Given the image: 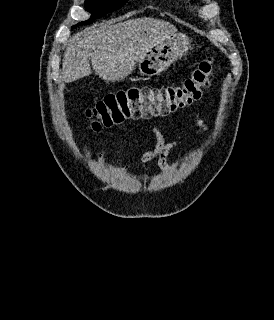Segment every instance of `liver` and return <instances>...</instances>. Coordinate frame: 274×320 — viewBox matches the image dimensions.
<instances>
[{
	"mask_svg": "<svg viewBox=\"0 0 274 320\" xmlns=\"http://www.w3.org/2000/svg\"><path fill=\"white\" fill-rule=\"evenodd\" d=\"M176 32L175 26L155 20L137 18L120 24H98L84 28L69 40L62 60L64 82H75L92 74V68L105 82H119L129 76L137 62L159 40Z\"/></svg>",
	"mask_w": 274,
	"mask_h": 320,
	"instance_id": "6515ba94",
	"label": "liver"
}]
</instances>
